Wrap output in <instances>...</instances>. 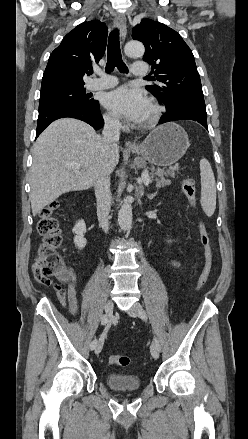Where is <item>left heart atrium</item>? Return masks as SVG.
<instances>
[{
	"mask_svg": "<svg viewBox=\"0 0 248 439\" xmlns=\"http://www.w3.org/2000/svg\"><path fill=\"white\" fill-rule=\"evenodd\" d=\"M103 104L116 115L134 122L143 121L149 108V100L143 91L130 86H121L107 93Z\"/></svg>",
	"mask_w": 248,
	"mask_h": 439,
	"instance_id": "obj_1",
	"label": "left heart atrium"
}]
</instances>
